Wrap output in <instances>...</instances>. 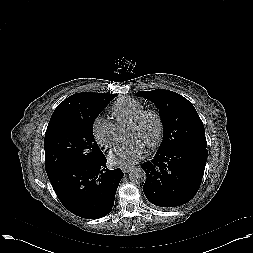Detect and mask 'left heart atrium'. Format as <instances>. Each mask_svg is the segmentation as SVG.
<instances>
[{
  "label": "left heart atrium",
  "instance_id": "obj_1",
  "mask_svg": "<svg viewBox=\"0 0 253 253\" xmlns=\"http://www.w3.org/2000/svg\"><path fill=\"white\" fill-rule=\"evenodd\" d=\"M147 153V146L138 139H131L114 147L108 154L113 166L128 167L136 164Z\"/></svg>",
  "mask_w": 253,
  "mask_h": 253
}]
</instances>
